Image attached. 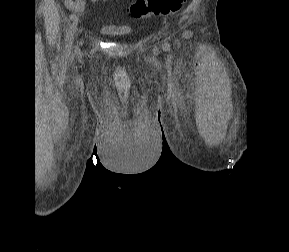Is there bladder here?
Masks as SVG:
<instances>
[{
	"instance_id": "1",
	"label": "bladder",
	"mask_w": 289,
	"mask_h": 252,
	"mask_svg": "<svg viewBox=\"0 0 289 252\" xmlns=\"http://www.w3.org/2000/svg\"><path fill=\"white\" fill-rule=\"evenodd\" d=\"M102 32L110 36H125L129 34V29L127 28H118L113 26H104Z\"/></svg>"
}]
</instances>
